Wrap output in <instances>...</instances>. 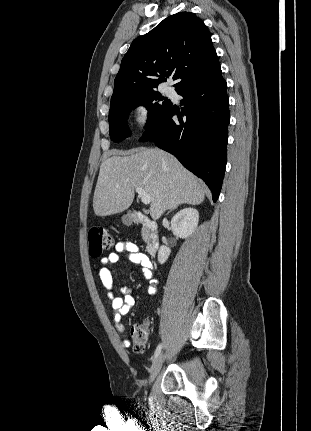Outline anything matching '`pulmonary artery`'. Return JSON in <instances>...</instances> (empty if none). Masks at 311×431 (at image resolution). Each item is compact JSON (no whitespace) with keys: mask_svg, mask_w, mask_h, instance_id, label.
I'll return each mask as SVG.
<instances>
[{"mask_svg":"<svg viewBox=\"0 0 311 431\" xmlns=\"http://www.w3.org/2000/svg\"><path fill=\"white\" fill-rule=\"evenodd\" d=\"M165 92H166V94H171L172 93V88L166 87L165 88Z\"/></svg>","mask_w":311,"mask_h":431,"instance_id":"e3ab8cb5","label":"pulmonary artery"}]
</instances>
